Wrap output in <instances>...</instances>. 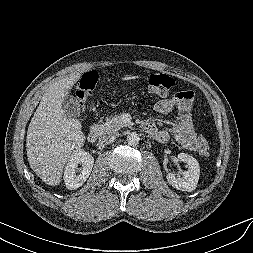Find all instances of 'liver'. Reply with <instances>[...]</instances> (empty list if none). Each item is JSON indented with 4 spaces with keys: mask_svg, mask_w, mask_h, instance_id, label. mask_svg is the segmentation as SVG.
<instances>
[{
    "mask_svg": "<svg viewBox=\"0 0 253 253\" xmlns=\"http://www.w3.org/2000/svg\"><path fill=\"white\" fill-rule=\"evenodd\" d=\"M83 71L78 70L47 88L28 127L26 150L29 165L50 186L60 184L65 164L85 142L81 122L67 117L62 108L64 97Z\"/></svg>",
    "mask_w": 253,
    "mask_h": 253,
    "instance_id": "6515ba94",
    "label": "liver"
}]
</instances>
